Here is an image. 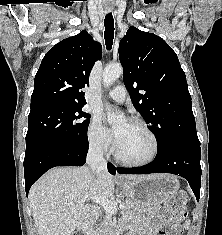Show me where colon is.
<instances>
[{"mask_svg":"<svg viewBox=\"0 0 222 235\" xmlns=\"http://www.w3.org/2000/svg\"><path fill=\"white\" fill-rule=\"evenodd\" d=\"M187 214V203L183 195H176L167 201L163 206V216L167 224H171L175 220L182 219ZM164 235H175L173 232L163 231ZM78 235V234H74Z\"/></svg>","mask_w":222,"mask_h":235,"instance_id":"obj_1","label":"colon"}]
</instances>
